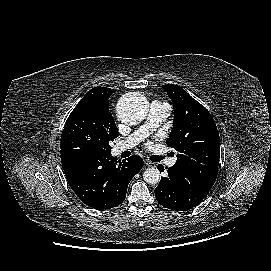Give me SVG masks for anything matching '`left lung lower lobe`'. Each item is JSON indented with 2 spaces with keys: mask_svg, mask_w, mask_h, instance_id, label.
I'll list each match as a JSON object with an SVG mask.
<instances>
[{
  "mask_svg": "<svg viewBox=\"0 0 271 271\" xmlns=\"http://www.w3.org/2000/svg\"><path fill=\"white\" fill-rule=\"evenodd\" d=\"M164 171V167L158 166ZM212 185L207 184L190 172L174 165L167 169L155 189L157 201L165 208L177 211L189 210L202 202Z\"/></svg>",
  "mask_w": 271,
  "mask_h": 271,
  "instance_id": "0a47b994",
  "label": "left lung lower lobe"
}]
</instances>
